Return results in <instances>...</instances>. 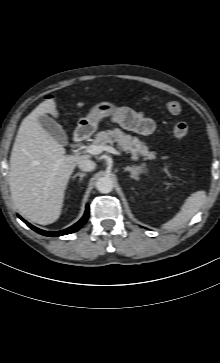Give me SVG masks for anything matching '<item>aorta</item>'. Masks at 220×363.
Instances as JSON below:
<instances>
[{"label": "aorta", "instance_id": "1", "mask_svg": "<svg viewBox=\"0 0 220 363\" xmlns=\"http://www.w3.org/2000/svg\"><path fill=\"white\" fill-rule=\"evenodd\" d=\"M114 187L113 180L108 176L100 177L96 182V188L100 193L107 194Z\"/></svg>", "mask_w": 220, "mask_h": 363}]
</instances>
